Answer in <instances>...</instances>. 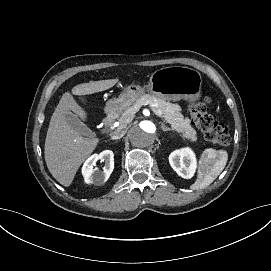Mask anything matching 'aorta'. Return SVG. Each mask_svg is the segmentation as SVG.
Wrapping results in <instances>:
<instances>
[{
	"label": "aorta",
	"instance_id": "1",
	"mask_svg": "<svg viewBox=\"0 0 271 271\" xmlns=\"http://www.w3.org/2000/svg\"><path fill=\"white\" fill-rule=\"evenodd\" d=\"M132 146L139 149L152 148L157 138V125L151 120L134 124L128 134Z\"/></svg>",
	"mask_w": 271,
	"mask_h": 271
}]
</instances>
